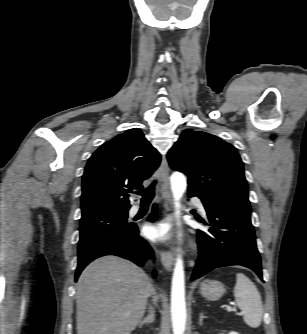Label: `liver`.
I'll use <instances>...</instances> for the list:
<instances>
[{"mask_svg":"<svg viewBox=\"0 0 307 334\" xmlns=\"http://www.w3.org/2000/svg\"><path fill=\"white\" fill-rule=\"evenodd\" d=\"M152 292L148 275L113 255L91 262L76 285L77 334H130Z\"/></svg>","mask_w":307,"mask_h":334,"instance_id":"liver-1","label":"liver"}]
</instances>
